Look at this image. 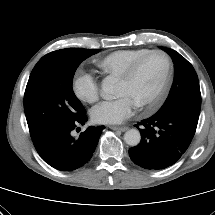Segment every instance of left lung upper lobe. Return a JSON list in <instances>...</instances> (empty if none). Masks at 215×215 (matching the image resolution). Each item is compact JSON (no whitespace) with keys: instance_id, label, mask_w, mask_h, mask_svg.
Segmentation results:
<instances>
[{"instance_id":"1","label":"left lung upper lobe","mask_w":215,"mask_h":215,"mask_svg":"<svg viewBox=\"0 0 215 215\" xmlns=\"http://www.w3.org/2000/svg\"><path fill=\"white\" fill-rule=\"evenodd\" d=\"M175 64V77L170 93L158 113L181 111L199 118L201 93L197 74L193 66L177 51L162 47Z\"/></svg>"}]
</instances>
